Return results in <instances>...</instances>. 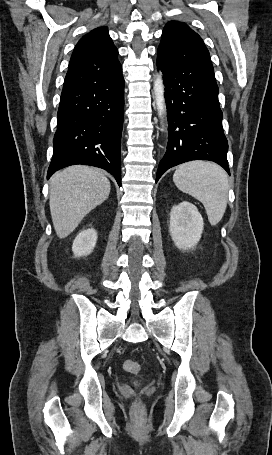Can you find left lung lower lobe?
Instances as JSON below:
<instances>
[{"instance_id":"left-lung-lower-lobe-1","label":"left lung lower lobe","mask_w":272,"mask_h":455,"mask_svg":"<svg viewBox=\"0 0 272 455\" xmlns=\"http://www.w3.org/2000/svg\"><path fill=\"white\" fill-rule=\"evenodd\" d=\"M156 64L163 73L169 131L156 182L169 168L191 160L216 162L230 175L213 67H169L159 59Z\"/></svg>"}]
</instances>
